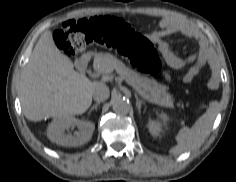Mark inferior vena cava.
Returning a JSON list of instances; mask_svg holds the SVG:
<instances>
[{
  "label": "inferior vena cava",
  "instance_id": "obj_1",
  "mask_svg": "<svg viewBox=\"0 0 236 182\" xmlns=\"http://www.w3.org/2000/svg\"><path fill=\"white\" fill-rule=\"evenodd\" d=\"M110 95L109 88L102 82H95L93 89L94 100L101 102L108 99Z\"/></svg>",
  "mask_w": 236,
  "mask_h": 182
}]
</instances>
